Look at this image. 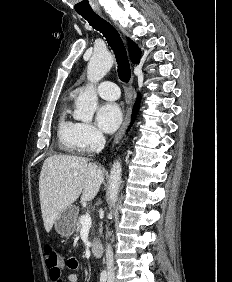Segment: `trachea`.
Instances as JSON below:
<instances>
[{"label":"trachea","instance_id":"3493384b","mask_svg":"<svg viewBox=\"0 0 232 282\" xmlns=\"http://www.w3.org/2000/svg\"><path fill=\"white\" fill-rule=\"evenodd\" d=\"M88 23L97 31L101 32L112 48L118 65V76L122 82H128L131 77V69L127 52L118 31L106 20L95 12L80 13Z\"/></svg>","mask_w":232,"mask_h":282}]
</instances>
